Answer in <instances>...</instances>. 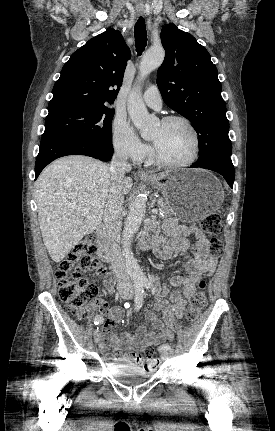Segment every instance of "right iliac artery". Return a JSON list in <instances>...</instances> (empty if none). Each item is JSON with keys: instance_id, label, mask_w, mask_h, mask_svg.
Listing matches in <instances>:
<instances>
[{"instance_id": "right-iliac-artery-1", "label": "right iliac artery", "mask_w": 275, "mask_h": 431, "mask_svg": "<svg viewBox=\"0 0 275 431\" xmlns=\"http://www.w3.org/2000/svg\"><path fill=\"white\" fill-rule=\"evenodd\" d=\"M143 292H144L143 284L142 283H137L135 285V298H134L135 309L137 311L142 307ZM103 321H104V318H103L102 315H97L94 318V324L95 325H99V324L103 323ZM95 331H98V327H97V329Z\"/></svg>"}]
</instances>
